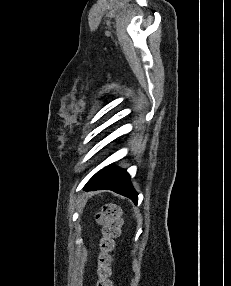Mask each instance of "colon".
Returning a JSON list of instances; mask_svg holds the SVG:
<instances>
[{"label":"colon","mask_w":231,"mask_h":286,"mask_svg":"<svg viewBox=\"0 0 231 286\" xmlns=\"http://www.w3.org/2000/svg\"><path fill=\"white\" fill-rule=\"evenodd\" d=\"M97 222L102 226V237L99 242L98 280L96 286H113L111 281V252L114 239L120 232V212L113 204H106L96 216Z\"/></svg>","instance_id":"5ec220e1"}]
</instances>
